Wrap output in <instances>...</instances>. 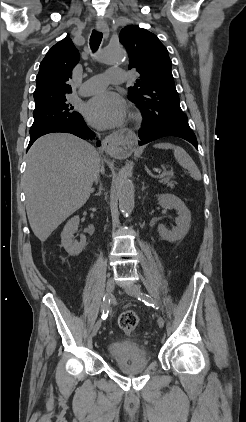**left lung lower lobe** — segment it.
Returning a JSON list of instances; mask_svg holds the SVG:
<instances>
[{
    "label": "left lung lower lobe",
    "mask_w": 246,
    "mask_h": 422,
    "mask_svg": "<svg viewBox=\"0 0 246 422\" xmlns=\"http://www.w3.org/2000/svg\"><path fill=\"white\" fill-rule=\"evenodd\" d=\"M175 136L190 142L196 149L197 139L188 122L169 121L154 126H147L144 122L139 131V145H144L158 138Z\"/></svg>",
    "instance_id": "1"
}]
</instances>
